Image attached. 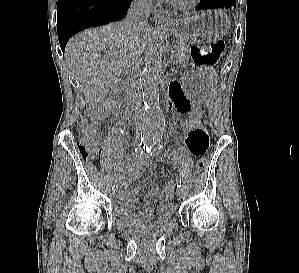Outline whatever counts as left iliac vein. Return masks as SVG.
Masks as SVG:
<instances>
[{
  "label": "left iliac vein",
  "instance_id": "4c4485c4",
  "mask_svg": "<svg viewBox=\"0 0 299 273\" xmlns=\"http://www.w3.org/2000/svg\"><path fill=\"white\" fill-rule=\"evenodd\" d=\"M176 195H177L178 199H182L183 196H184V191H183V189L178 188L177 191H176Z\"/></svg>",
  "mask_w": 299,
  "mask_h": 273
}]
</instances>
